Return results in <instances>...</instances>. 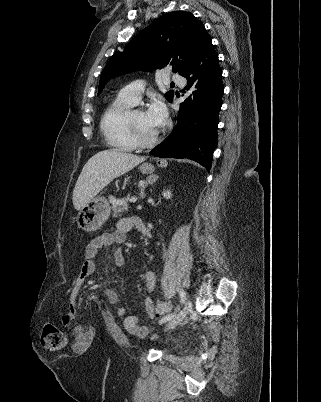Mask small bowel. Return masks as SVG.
I'll list each match as a JSON object with an SVG mask.
<instances>
[{
  "label": "small bowel",
  "mask_w": 321,
  "mask_h": 402,
  "mask_svg": "<svg viewBox=\"0 0 321 402\" xmlns=\"http://www.w3.org/2000/svg\"><path fill=\"white\" fill-rule=\"evenodd\" d=\"M133 228H137L142 234L151 237L150 230L140 221L135 219H121L112 232L102 233L94 237L87 245L85 250V264L77 277L76 283L81 284L87 278L91 277L98 271V264L96 259L100 252L113 245L122 244L127 237V233ZM112 266L115 269H121L124 265V257L120 250H116L112 254ZM145 286L148 290L153 291L156 287L157 276L153 270H147L144 274ZM106 297L111 305H118L120 303L119 294L112 288L105 291ZM144 309L148 317L153 318L156 315L153 301L150 298L144 300ZM118 317L123 319L124 329L130 334L139 337L147 336V328L139 324V318L136 315H128V311L124 307L117 309ZM77 317V310L71 306L62 317V323L65 327L71 328V345L73 347V357L83 358L84 353L87 351V346L90 342L91 335L94 334L95 329L93 326L85 324L73 325ZM93 325V324H91Z\"/></svg>",
  "instance_id": "c3829d8e"
}]
</instances>
